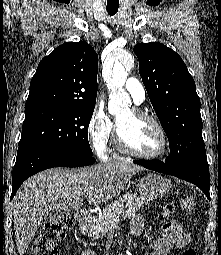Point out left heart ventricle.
I'll return each instance as SVG.
<instances>
[{
  "label": "left heart ventricle",
  "mask_w": 221,
  "mask_h": 255,
  "mask_svg": "<svg viewBox=\"0 0 221 255\" xmlns=\"http://www.w3.org/2000/svg\"><path fill=\"white\" fill-rule=\"evenodd\" d=\"M117 128L126 143L137 152L155 154L161 149V136L156 127L137 118L131 110L120 115Z\"/></svg>",
  "instance_id": "1"
}]
</instances>
